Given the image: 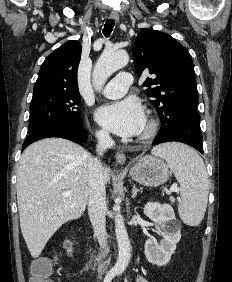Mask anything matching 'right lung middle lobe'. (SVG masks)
I'll return each mask as SVG.
<instances>
[{
	"mask_svg": "<svg viewBox=\"0 0 232 282\" xmlns=\"http://www.w3.org/2000/svg\"><path fill=\"white\" fill-rule=\"evenodd\" d=\"M79 92L50 90L33 92L30 104L28 134L56 123L82 126L78 108Z\"/></svg>",
	"mask_w": 232,
	"mask_h": 282,
	"instance_id": "1",
	"label": "right lung middle lobe"
}]
</instances>
